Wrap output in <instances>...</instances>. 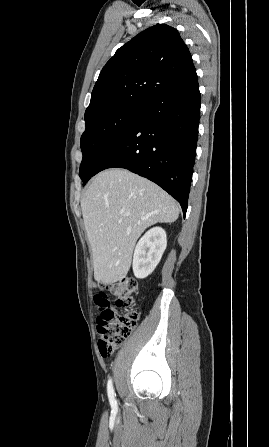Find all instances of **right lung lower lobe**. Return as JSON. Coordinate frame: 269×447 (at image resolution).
Segmentation results:
<instances>
[{
	"label": "right lung lower lobe",
	"mask_w": 269,
	"mask_h": 447,
	"mask_svg": "<svg viewBox=\"0 0 269 447\" xmlns=\"http://www.w3.org/2000/svg\"><path fill=\"white\" fill-rule=\"evenodd\" d=\"M144 112L92 165L83 185L107 168H125L155 182L181 205L185 216L200 120L196 69L146 100Z\"/></svg>",
	"instance_id": "1"
}]
</instances>
